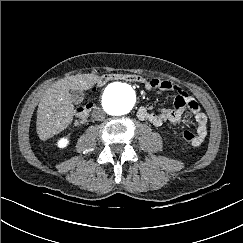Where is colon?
Listing matches in <instances>:
<instances>
[{"label":"colon","mask_w":243,"mask_h":243,"mask_svg":"<svg viewBox=\"0 0 243 243\" xmlns=\"http://www.w3.org/2000/svg\"><path fill=\"white\" fill-rule=\"evenodd\" d=\"M113 80H124V81H129V82H136V83H142L144 82V78L140 75L137 74H130V73H110V74H105L100 77L98 81V85H105L108 82H111ZM93 108L92 103H87L80 108L77 109L76 115H75V120L76 123L78 124H83L88 121L90 112ZM183 138L185 141L192 143L196 135L195 133L191 131H184L183 132Z\"/></svg>","instance_id":"1"}]
</instances>
